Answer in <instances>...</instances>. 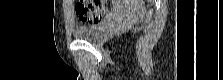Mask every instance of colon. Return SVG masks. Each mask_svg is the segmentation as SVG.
<instances>
[{"label":"colon","instance_id":"obj_1","mask_svg":"<svg viewBox=\"0 0 223 80\" xmlns=\"http://www.w3.org/2000/svg\"><path fill=\"white\" fill-rule=\"evenodd\" d=\"M76 14L81 21L98 23L106 12L104 2L95 1H78L75 6Z\"/></svg>","mask_w":223,"mask_h":80}]
</instances>
